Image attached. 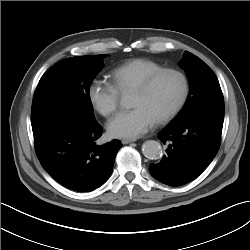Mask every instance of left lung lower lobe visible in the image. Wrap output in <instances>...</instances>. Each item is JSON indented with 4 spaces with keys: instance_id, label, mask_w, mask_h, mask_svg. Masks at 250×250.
<instances>
[{
    "instance_id": "obj_1",
    "label": "left lung lower lobe",
    "mask_w": 250,
    "mask_h": 250,
    "mask_svg": "<svg viewBox=\"0 0 250 250\" xmlns=\"http://www.w3.org/2000/svg\"><path fill=\"white\" fill-rule=\"evenodd\" d=\"M224 103L170 123L158 133L167 147L157 164H150L153 177L170 186H181L198 177L216 156L221 141Z\"/></svg>"
}]
</instances>
